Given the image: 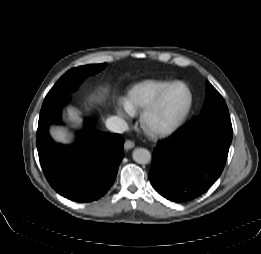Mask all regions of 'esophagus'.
I'll return each mask as SVG.
<instances>
[{
  "instance_id": "34e87169",
  "label": "esophagus",
  "mask_w": 261,
  "mask_h": 254,
  "mask_svg": "<svg viewBox=\"0 0 261 254\" xmlns=\"http://www.w3.org/2000/svg\"><path fill=\"white\" fill-rule=\"evenodd\" d=\"M134 146H135V144L131 140H126L125 143H124V149L125 150H130V149L134 148Z\"/></svg>"
}]
</instances>
